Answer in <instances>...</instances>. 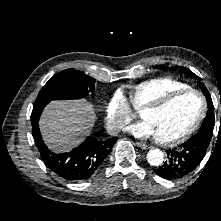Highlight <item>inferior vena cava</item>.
Segmentation results:
<instances>
[{
  "instance_id": "1",
  "label": "inferior vena cava",
  "mask_w": 221,
  "mask_h": 221,
  "mask_svg": "<svg viewBox=\"0 0 221 221\" xmlns=\"http://www.w3.org/2000/svg\"><path fill=\"white\" fill-rule=\"evenodd\" d=\"M118 132H119L118 128H114L113 130H111L110 133H111L112 135H117Z\"/></svg>"
}]
</instances>
